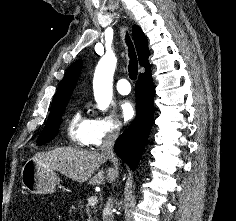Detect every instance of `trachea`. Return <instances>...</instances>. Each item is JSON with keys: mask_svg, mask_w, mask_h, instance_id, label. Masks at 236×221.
<instances>
[{"mask_svg": "<svg viewBox=\"0 0 236 221\" xmlns=\"http://www.w3.org/2000/svg\"><path fill=\"white\" fill-rule=\"evenodd\" d=\"M126 43L129 47V57H130V61L128 65L129 77L131 80H136L137 74H138V61L136 58V53H135L133 43L130 40L128 34L126 36Z\"/></svg>", "mask_w": 236, "mask_h": 221, "instance_id": "3493384b", "label": "trachea"}]
</instances>
